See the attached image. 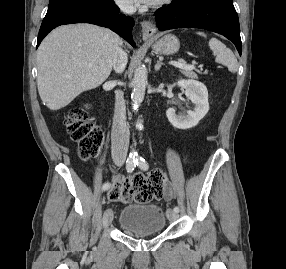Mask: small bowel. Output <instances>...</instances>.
<instances>
[{
  "label": "small bowel",
  "mask_w": 286,
  "mask_h": 269,
  "mask_svg": "<svg viewBox=\"0 0 286 269\" xmlns=\"http://www.w3.org/2000/svg\"><path fill=\"white\" fill-rule=\"evenodd\" d=\"M187 158H185L186 161ZM118 177H124L122 175H118ZM125 178V177H124ZM166 181V176H165ZM164 199L167 201H171L175 198V189L172 184H167L164 191Z\"/></svg>",
  "instance_id": "1"
}]
</instances>
